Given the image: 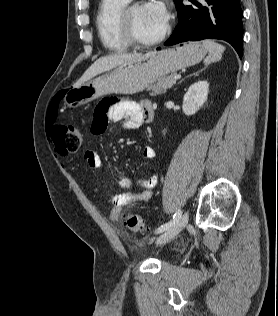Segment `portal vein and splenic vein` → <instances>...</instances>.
<instances>
[{"label":"portal vein and splenic vein","mask_w":278,"mask_h":316,"mask_svg":"<svg viewBox=\"0 0 278 316\" xmlns=\"http://www.w3.org/2000/svg\"><path fill=\"white\" fill-rule=\"evenodd\" d=\"M180 78H181V75H176V76H175V79H176V80H179Z\"/></svg>","instance_id":"portal-vein-and-splenic-vein-1"}]
</instances>
